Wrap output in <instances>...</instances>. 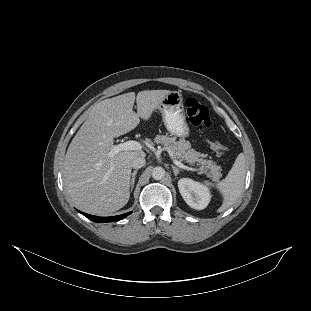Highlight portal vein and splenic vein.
I'll return each mask as SVG.
<instances>
[{"label":"portal vein and splenic vein","mask_w":311,"mask_h":311,"mask_svg":"<svg viewBox=\"0 0 311 311\" xmlns=\"http://www.w3.org/2000/svg\"><path fill=\"white\" fill-rule=\"evenodd\" d=\"M142 149V145L140 142L135 141V140H129L126 141L124 143H119L117 145H112L110 152H109V157L113 158L116 154H118L121 151H137V150H141ZM172 161L173 163L182 169L188 170V171H196V168H192L189 167L187 165H184L181 161L175 159L174 157H172Z\"/></svg>","instance_id":"portal-vein-and-splenic-vein-1"}]
</instances>
